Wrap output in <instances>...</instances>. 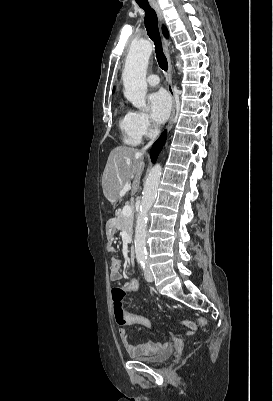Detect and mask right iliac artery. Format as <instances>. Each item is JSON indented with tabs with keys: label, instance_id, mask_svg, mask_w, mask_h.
I'll use <instances>...</instances> for the list:
<instances>
[{
	"label": "right iliac artery",
	"instance_id": "obj_1",
	"mask_svg": "<svg viewBox=\"0 0 273 401\" xmlns=\"http://www.w3.org/2000/svg\"><path fill=\"white\" fill-rule=\"evenodd\" d=\"M138 263H140L142 265L143 259L142 258H138Z\"/></svg>",
	"mask_w": 273,
	"mask_h": 401
}]
</instances>
